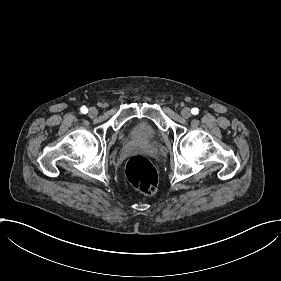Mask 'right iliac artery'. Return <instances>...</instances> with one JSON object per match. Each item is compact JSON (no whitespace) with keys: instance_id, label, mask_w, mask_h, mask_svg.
Instances as JSON below:
<instances>
[{"instance_id":"obj_1","label":"right iliac artery","mask_w":281,"mask_h":281,"mask_svg":"<svg viewBox=\"0 0 281 281\" xmlns=\"http://www.w3.org/2000/svg\"><path fill=\"white\" fill-rule=\"evenodd\" d=\"M81 112L86 114L88 112V109L85 106L81 107Z\"/></svg>"}]
</instances>
